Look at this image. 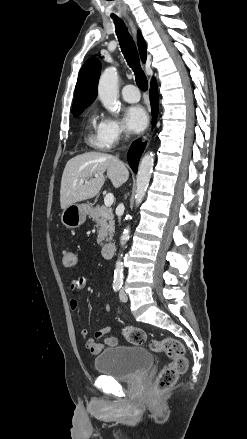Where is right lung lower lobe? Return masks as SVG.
<instances>
[{
    "instance_id": "right-lung-lower-lobe-1",
    "label": "right lung lower lobe",
    "mask_w": 247,
    "mask_h": 439,
    "mask_svg": "<svg viewBox=\"0 0 247 439\" xmlns=\"http://www.w3.org/2000/svg\"><path fill=\"white\" fill-rule=\"evenodd\" d=\"M158 97L159 94L157 91V83L155 79H153L150 88V101H151L153 125H155L156 123L157 114H158ZM145 145L146 143H142L141 140H136L132 143L129 149L127 159L130 167L135 173L137 172L139 159L145 149Z\"/></svg>"
}]
</instances>
